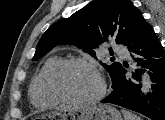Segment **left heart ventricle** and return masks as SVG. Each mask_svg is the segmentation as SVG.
<instances>
[{"label": "left heart ventricle", "mask_w": 165, "mask_h": 120, "mask_svg": "<svg viewBox=\"0 0 165 120\" xmlns=\"http://www.w3.org/2000/svg\"><path fill=\"white\" fill-rule=\"evenodd\" d=\"M55 85L62 95L73 99L91 97L100 89V81L96 74L80 65L64 68L57 75Z\"/></svg>", "instance_id": "left-heart-ventricle-1"}]
</instances>
